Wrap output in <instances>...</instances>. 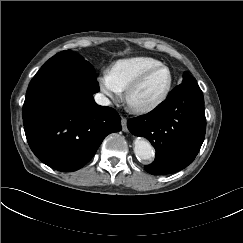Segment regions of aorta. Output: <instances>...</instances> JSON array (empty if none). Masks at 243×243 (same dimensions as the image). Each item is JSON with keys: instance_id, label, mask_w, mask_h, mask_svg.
<instances>
[{"instance_id": "obj_1", "label": "aorta", "mask_w": 243, "mask_h": 243, "mask_svg": "<svg viewBox=\"0 0 243 243\" xmlns=\"http://www.w3.org/2000/svg\"><path fill=\"white\" fill-rule=\"evenodd\" d=\"M134 152L138 159L144 161H150L154 154L151 144L141 138H137L134 141Z\"/></svg>"}]
</instances>
